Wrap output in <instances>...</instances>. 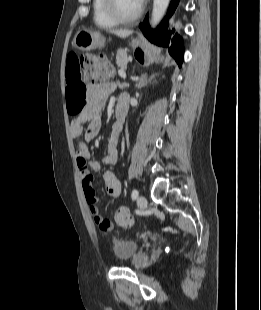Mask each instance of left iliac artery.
Wrapping results in <instances>:
<instances>
[{"instance_id":"obj_1","label":"left iliac artery","mask_w":261,"mask_h":310,"mask_svg":"<svg viewBox=\"0 0 261 310\" xmlns=\"http://www.w3.org/2000/svg\"><path fill=\"white\" fill-rule=\"evenodd\" d=\"M131 197L133 200H135L138 197V191L136 189H133L131 193Z\"/></svg>"}]
</instances>
